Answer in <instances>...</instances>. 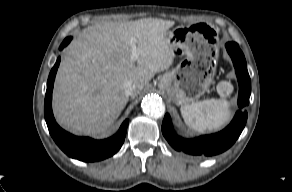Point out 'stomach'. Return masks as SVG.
Masks as SVG:
<instances>
[{
    "label": "stomach",
    "mask_w": 292,
    "mask_h": 192,
    "mask_svg": "<svg viewBox=\"0 0 292 192\" xmlns=\"http://www.w3.org/2000/svg\"><path fill=\"white\" fill-rule=\"evenodd\" d=\"M167 38L182 59L176 68L163 74L159 89L177 105L194 103L213 83L218 30L211 24L179 26L168 32Z\"/></svg>",
    "instance_id": "stomach-1"
}]
</instances>
